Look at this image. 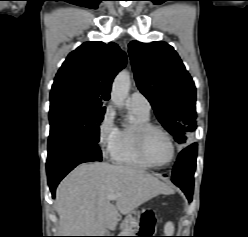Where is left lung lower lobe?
Instances as JSON below:
<instances>
[{
    "mask_svg": "<svg viewBox=\"0 0 248 237\" xmlns=\"http://www.w3.org/2000/svg\"><path fill=\"white\" fill-rule=\"evenodd\" d=\"M197 144L194 143L184 150L178 156L172 172V181L186 195L189 201L193 195V175L196 167Z\"/></svg>",
    "mask_w": 248,
    "mask_h": 237,
    "instance_id": "obj_1",
    "label": "left lung lower lobe"
}]
</instances>
